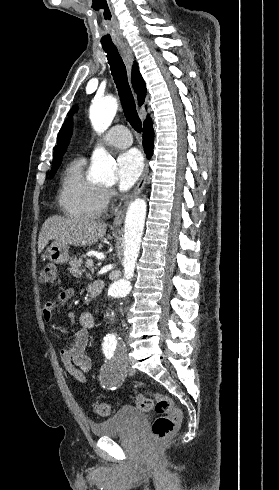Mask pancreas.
Here are the masks:
<instances>
[{
    "mask_svg": "<svg viewBox=\"0 0 279 490\" xmlns=\"http://www.w3.org/2000/svg\"><path fill=\"white\" fill-rule=\"evenodd\" d=\"M82 264L83 262L81 258H79V260H71V262H69L70 268H68V270L72 276H75V278H82L84 274Z\"/></svg>",
    "mask_w": 279,
    "mask_h": 490,
    "instance_id": "cf45deb5",
    "label": "pancreas"
}]
</instances>
